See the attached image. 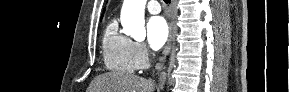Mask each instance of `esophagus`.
Instances as JSON below:
<instances>
[{
	"label": "esophagus",
	"instance_id": "34e87169",
	"mask_svg": "<svg viewBox=\"0 0 289 92\" xmlns=\"http://www.w3.org/2000/svg\"><path fill=\"white\" fill-rule=\"evenodd\" d=\"M174 5H175V2L174 0L171 1V4H170V9H171V19H170V23H169V37H168V40L166 42V45H165V48L163 50V54L160 58V61L159 63L157 64V67L158 68H162L163 65H164V62L166 61V57L170 51V48L174 42V39H175V32H176V26H175V22H174V18H173V9H174Z\"/></svg>",
	"mask_w": 289,
	"mask_h": 92
}]
</instances>
